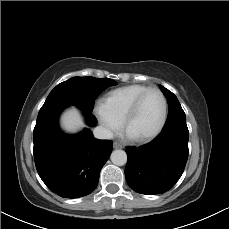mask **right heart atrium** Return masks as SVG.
I'll return each instance as SVG.
<instances>
[{
	"instance_id": "right-heart-atrium-1",
	"label": "right heart atrium",
	"mask_w": 229,
	"mask_h": 229,
	"mask_svg": "<svg viewBox=\"0 0 229 229\" xmlns=\"http://www.w3.org/2000/svg\"><path fill=\"white\" fill-rule=\"evenodd\" d=\"M95 111L99 118L101 125L104 127L105 131L110 134H116L120 130L121 122L116 120L113 116L109 114L102 102H98L95 105Z\"/></svg>"
}]
</instances>
